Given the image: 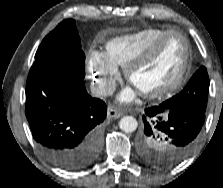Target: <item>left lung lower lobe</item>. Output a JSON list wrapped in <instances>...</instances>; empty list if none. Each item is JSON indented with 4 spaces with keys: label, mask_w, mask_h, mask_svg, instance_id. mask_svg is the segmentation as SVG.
Listing matches in <instances>:
<instances>
[{
    "label": "left lung lower lobe",
    "mask_w": 223,
    "mask_h": 188,
    "mask_svg": "<svg viewBox=\"0 0 223 188\" xmlns=\"http://www.w3.org/2000/svg\"><path fill=\"white\" fill-rule=\"evenodd\" d=\"M142 118L144 127L138 138L139 146L143 135H153L157 131L170 146L166 161L173 165L193 151L205 114L191 109L166 108L160 104L147 108Z\"/></svg>",
    "instance_id": "1"
}]
</instances>
